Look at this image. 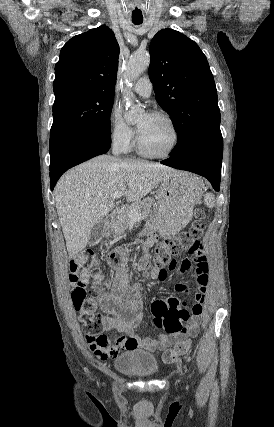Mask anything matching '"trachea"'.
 Returning a JSON list of instances; mask_svg holds the SVG:
<instances>
[{"label":"trachea","mask_w":274,"mask_h":427,"mask_svg":"<svg viewBox=\"0 0 274 427\" xmlns=\"http://www.w3.org/2000/svg\"><path fill=\"white\" fill-rule=\"evenodd\" d=\"M132 22L134 23V25H141V23H143V19H135L132 20Z\"/></svg>","instance_id":"3493384b"}]
</instances>
